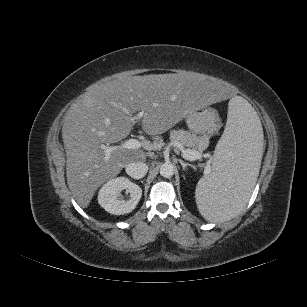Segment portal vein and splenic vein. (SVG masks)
I'll return each mask as SVG.
<instances>
[{"mask_svg": "<svg viewBox=\"0 0 307 307\" xmlns=\"http://www.w3.org/2000/svg\"><path fill=\"white\" fill-rule=\"evenodd\" d=\"M144 112L140 111L137 116L132 117V120H139L143 117ZM143 146V143L140 142L137 139L131 138L127 141H125L124 143H122L119 146H107L104 144L100 145V148L104 151L105 154V161H108L110 158L111 153L114 150H118V149H138L141 148ZM181 153L184 159L189 160V161H195V160H199L202 158V154L199 151L196 150H190V149H183L181 148ZM211 171V167L209 164H206L204 166V174L207 175L209 174Z\"/></svg>", "mask_w": 307, "mask_h": 307, "instance_id": "obj_1", "label": "portal vein and splenic vein"}]
</instances>
